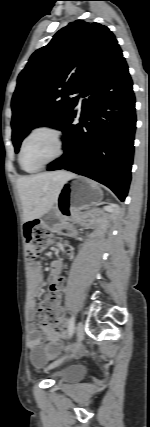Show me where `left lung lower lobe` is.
<instances>
[{
    "label": "left lung lower lobe",
    "mask_w": 150,
    "mask_h": 427,
    "mask_svg": "<svg viewBox=\"0 0 150 427\" xmlns=\"http://www.w3.org/2000/svg\"><path fill=\"white\" fill-rule=\"evenodd\" d=\"M80 92L85 97L80 122L74 124L78 114L74 108L61 128L65 152L47 170L65 169L89 177L124 201L131 181L136 115L132 80L120 47Z\"/></svg>",
    "instance_id": "0a47b994"
}]
</instances>
